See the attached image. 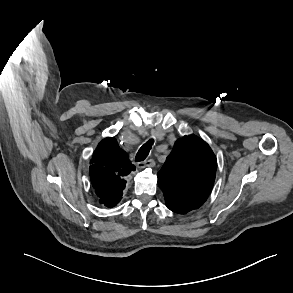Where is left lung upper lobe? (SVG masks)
<instances>
[{
  "mask_svg": "<svg viewBox=\"0 0 293 293\" xmlns=\"http://www.w3.org/2000/svg\"><path fill=\"white\" fill-rule=\"evenodd\" d=\"M216 169V157L205 141L193 135L177 140L157 175L166 204L187 212L199 208L211 192Z\"/></svg>",
  "mask_w": 293,
  "mask_h": 293,
  "instance_id": "left-lung-upper-lobe-1",
  "label": "left lung upper lobe"
}]
</instances>
